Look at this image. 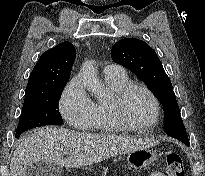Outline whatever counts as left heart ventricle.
Listing matches in <instances>:
<instances>
[{
  "mask_svg": "<svg viewBox=\"0 0 205 176\" xmlns=\"http://www.w3.org/2000/svg\"><path fill=\"white\" fill-rule=\"evenodd\" d=\"M126 113L129 119L135 123L150 122L154 115V109L147 94L140 90L133 92L126 101Z\"/></svg>",
  "mask_w": 205,
  "mask_h": 176,
  "instance_id": "left-heart-ventricle-1",
  "label": "left heart ventricle"
}]
</instances>
